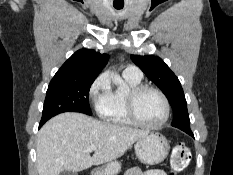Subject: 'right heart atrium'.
Returning <instances> with one entry per match:
<instances>
[{
    "instance_id": "1",
    "label": "right heart atrium",
    "mask_w": 233,
    "mask_h": 175,
    "mask_svg": "<svg viewBox=\"0 0 233 175\" xmlns=\"http://www.w3.org/2000/svg\"><path fill=\"white\" fill-rule=\"evenodd\" d=\"M109 90V82L105 75H99L90 85L89 96L90 98L98 104L103 96Z\"/></svg>"
}]
</instances>
